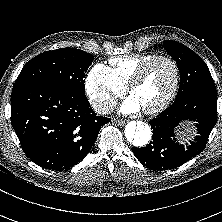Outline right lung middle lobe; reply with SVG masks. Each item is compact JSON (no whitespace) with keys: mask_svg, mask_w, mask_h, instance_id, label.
<instances>
[{"mask_svg":"<svg viewBox=\"0 0 222 222\" xmlns=\"http://www.w3.org/2000/svg\"><path fill=\"white\" fill-rule=\"evenodd\" d=\"M93 62L90 53L74 48L43 52L21 70L15 85L45 84L85 95V73Z\"/></svg>","mask_w":222,"mask_h":222,"instance_id":"obj_1","label":"right lung middle lobe"}]
</instances>
